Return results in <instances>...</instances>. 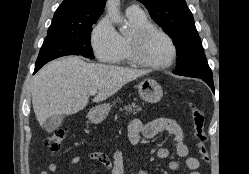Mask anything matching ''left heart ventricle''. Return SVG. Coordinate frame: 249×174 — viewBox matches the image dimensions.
Masks as SVG:
<instances>
[{"label":"left heart ventricle","instance_id":"left-heart-ventricle-1","mask_svg":"<svg viewBox=\"0 0 249 174\" xmlns=\"http://www.w3.org/2000/svg\"><path fill=\"white\" fill-rule=\"evenodd\" d=\"M143 56L153 63H166L172 57V47L165 37L153 34L145 43Z\"/></svg>","mask_w":249,"mask_h":174}]
</instances>
